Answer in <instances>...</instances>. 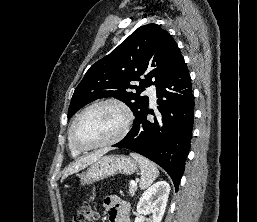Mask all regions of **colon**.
I'll return each mask as SVG.
<instances>
[{
	"label": "colon",
	"mask_w": 257,
	"mask_h": 222,
	"mask_svg": "<svg viewBox=\"0 0 257 222\" xmlns=\"http://www.w3.org/2000/svg\"><path fill=\"white\" fill-rule=\"evenodd\" d=\"M98 217L97 210L94 205H88L82 211L73 216L69 222H94Z\"/></svg>",
	"instance_id": "colon-1"
}]
</instances>
